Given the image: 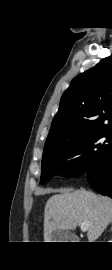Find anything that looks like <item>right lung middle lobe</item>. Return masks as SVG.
<instances>
[{
    "label": "right lung middle lobe",
    "mask_w": 112,
    "mask_h": 270,
    "mask_svg": "<svg viewBox=\"0 0 112 270\" xmlns=\"http://www.w3.org/2000/svg\"><path fill=\"white\" fill-rule=\"evenodd\" d=\"M112 149V126L98 128L74 140L45 147L40 182L54 175L77 176L97 171Z\"/></svg>",
    "instance_id": "dd1d6c3e"
}]
</instances>
